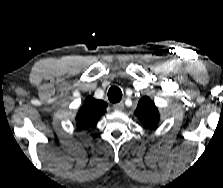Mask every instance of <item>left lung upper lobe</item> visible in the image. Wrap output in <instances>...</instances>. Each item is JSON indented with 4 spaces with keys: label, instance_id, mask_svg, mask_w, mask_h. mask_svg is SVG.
<instances>
[{
    "label": "left lung upper lobe",
    "instance_id": "5c2ea615",
    "mask_svg": "<svg viewBox=\"0 0 223 188\" xmlns=\"http://www.w3.org/2000/svg\"><path fill=\"white\" fill-rule=\"evenodd\" d=\"M134 114L146 128H153L160 118L157 107L147 96L139 100Z\"/></svg>",
    "mask_w": 223,
    "mask_h": 188
}]
</instances>
